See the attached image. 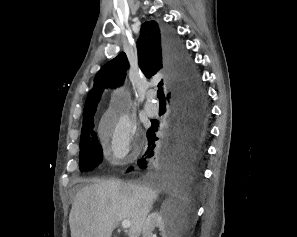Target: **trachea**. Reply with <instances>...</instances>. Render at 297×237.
Instances as JSON below:
<instances>
[{
  "mask_svg": "<svg viewBox=\"0 0 297 237\" xmlns=\"http://www.w3.org/2000/svg\"><path fill=\"white\" fill-rule=\"evenodd\" d=\"M157 97L160 101H165V95H164V92H163V88L162 87H159L158 90H157Z\"/></svg>",
  "mask_w": 297,
  "mask_h": 237,
  "instance_id": "1",
  "label": "trachea"
}]
</instances>
